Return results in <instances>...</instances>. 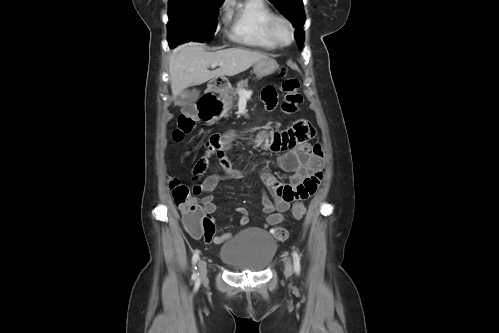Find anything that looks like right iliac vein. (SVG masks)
I'll return each mask as SVG.
<instances>
[{
    "label": "right iliac vein",
    "mask_w": 499,
    "mask_h": 333,
    "mask_svg": "<svg viewBox=\"0 0 499 333\" xmlns=\"http://www.w3.org/2000/svg\"><path fill=\"white\" fill-rule=\"evenodd\" d=\"M198 269H199V273H200V276H199L200 280L201 281L205 280L207 277V265H206L205 260H203V259L199 260Z\"/></svg>",
    "instance_id": "63e3f726"
}]
</instances>
